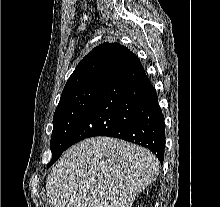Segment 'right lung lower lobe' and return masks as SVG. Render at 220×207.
I'll list each match as a JSON object with an SVG mask.
<instances>
[{
  "label": "right lung lower lobe",
  "instance_id": "right-lung-lower-lobe-1",
  "mask_svg": "<svg viewBox=\"0 0 220 207\" xmlns=\"http://www.w3.org/2000/svg\"><path fill=\"white\" fill-rule=\"evenodd\" d=\"M93 136L120 138L164 159L165 124L156 92L140 61L108 77L69 140V147Z\"/></svg>",
  "mask_w": 220,
  "mask_h": 207
}]
</instances>
